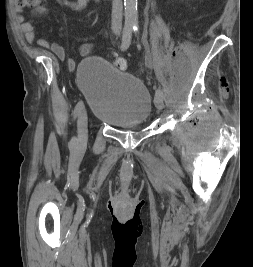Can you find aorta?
<instances>
[{
  "instance_id": "aorta-1",
  "label": "aorta",
  "mask_w": 253,
  "mask_h": 267,
  "mask_svg": "<svg viewBox=\"0 0 253 267\" xmlns=\"http://www.w3.org/2000/svg\"><path fill=\"white\" fill-rule=\"evenodd\" d=\"M125 26L138 28L137 0H124Z\"/></svg>"
}]
</instances>
